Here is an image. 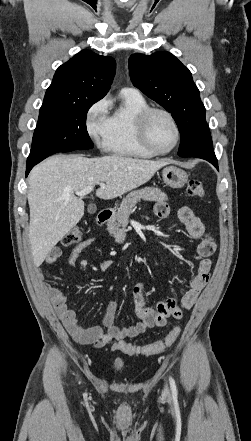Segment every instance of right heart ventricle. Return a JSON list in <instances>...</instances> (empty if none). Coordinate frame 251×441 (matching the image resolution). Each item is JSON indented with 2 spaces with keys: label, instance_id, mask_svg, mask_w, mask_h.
<instances>
[{
  "label": "right heart ventricle",
  "instance_id": "1",
  "mask_svg": "<svg viewBox=\"0 0 251 441\" xmlns=\"http://www.w3.org/2000/svg\"><path fill=\"white\" fill-rule=\"evenodd\" d=\"M149 107V103L137 90L123 89L120 103L108 119L104 148L120 156L152 157L154 154L141 144L136 128L139 114Z\"/></svg>",
  "mask_w": 251,
  "mask_h": 441
}]
</instances>
